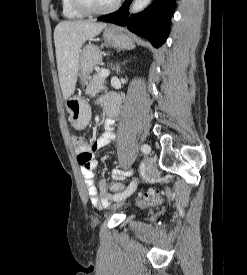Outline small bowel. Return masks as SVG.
Listing matches in <instances>:
<instances>
[{
  "mask_svg": "<svg viewBox=\"0 0 247 275\" xmlns=\"http://www.w3.org/2000/svg\"><path fill=\"white\" fill-rule=\"evenodd\" d=\"M105 105L110 108L115 107L116 113L119 108V99L116 96H107L104 99ZM110 114V113H109ZM114 116V115H113ZM107 119L106 131L100 138L95 140L92 144H84L82 147L77 149V161L80 165L81 173L83 175L88 194L91 202L97 207L107 206L111 201L112 193L108 190L106 183L103 180H99L96 184L94 181V170L97 167V161L94 158V153L106 146L110 141L114 139L113 123L114 120L111 118ZM128 172H122L118 169L112 171V177L115 180H121L124 176L128 175Z\"/></svg>",
  "mask_w": 247,
  "mask_h": 275,
  "instance_id": "obj_1",
  "label": "small bowel"
}]
</instances>
